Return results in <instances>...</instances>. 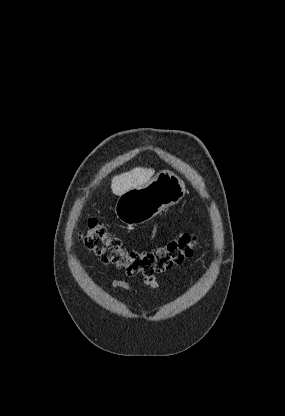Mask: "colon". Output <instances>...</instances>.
Listing matches in <instances>:
<instances>
[{
  "label": "colon",
  "mask_w": 285,
  "mask_h": 416,
  "mask_svg": "<svg viewBox=\"0 0 285 416\" xmlns=\"http://www.w3.org/2000/svg\"><path fill=\"white\" fill-rule=\"evenodd\" d=\"M81 237L85 246L102 262L123 268L129 276L147 277L164 272L193 255L199 246L196 234L183 233L151 250H127L123 248L120 239L114 237L95 219L88 221L87 230Z\"/></svg>",
  "instance_id": "5ec220e1"
}]
</instances>
